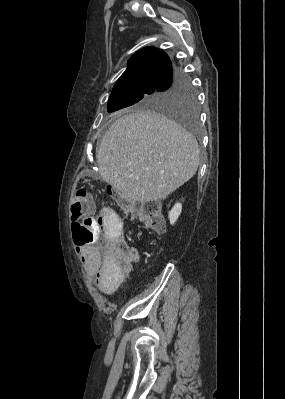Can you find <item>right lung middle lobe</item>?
<instances>
[{
  "instance_id": "1",
  "label": "right lung middle lobe",
  "mask_w": 285,
  "mask_h": 399,
  "mask_svg": "<svg viewBox=\"0 0 285 399\" xmlns=\"http://www.w3.org/2000/svg\"><path fill=\"white\" fill-rule=\"evenodd\" d=\"M129 106L172 116L191 129H195L197 125L196 93L189 79L184 75L173 82L160 85L158 88L110 95L108 112Z\"/></svg>"
}]
</instances>
